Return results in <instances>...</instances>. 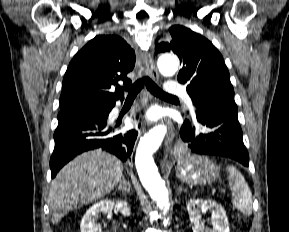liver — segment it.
Returning <instances> with one entry per match:
<instances>
[{"instance_id": "obj_1", "label": "liver", "mask_w": 289, "mask_h": 232, "mask_svg": "<svg viewBox=\"0 0 289 232\" xmlns=\"http://www.w3.org/2000/svg\"><path fill=\"white\" fill-rule=\"evenodd\" d=\"M123 163L100 149L83 153L65 165L51 182L48 204L58 225L67 213L110 193L123 176Z\"/></svg>"}]
</instances>
